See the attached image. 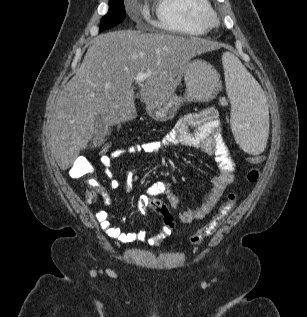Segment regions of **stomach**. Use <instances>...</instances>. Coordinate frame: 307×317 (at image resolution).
Instances as JSON below:
<instances>
[{
  "instance_id": "1",
  "label": "stomach",
  "mask_w": 307,
  "mask_h": 317,
  "mask_svg": "<svg viewBox=\"0 0 307 317\" xmlns=\"http://www.w3.org/2000/svg\"><path fill=\"white\" fill-rule=\"evenodd\" d=\"M183 75L186 84L184 98L172 95L164 103L153 102L146 105L147 113L154 120H170L185 100L190 102L210 100L221 88L216 69L205 60L194 59L187 62Z\"/></svg>"
}]
</instances>
